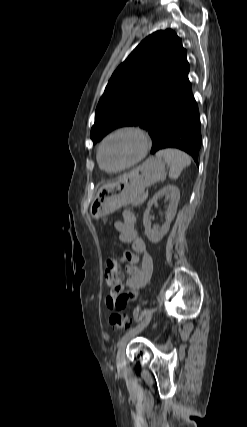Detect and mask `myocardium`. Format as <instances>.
<instances>
[{
  "mask_svg": "<svg viewBox=\"0 0 247 427\" xmlns=\"http://www.w3.org/2000/svg\"><path fill=\"white\" fill-rule=\"evenodd\" d=\"M122 133H133V134L137 135L141 141V150H140L138 156L133 161H131L130 163H128V164H126V165H124L118 169L109 170V169L105 168V166L103 165L102 158H101L102 149H103L104 145L110 139H112L113 137H115L119 134H122ZM150 146H151L150 137H149L148 133L143 128H141L139 126H135V125L120 126L116 129H114L113 131H111L109 134H107L103 138V140L101 141V143L98 147L97 160H98L100 167L104 171H106L108 173H118V172L124 171L126 169H129V168L135 166L136 164H138L139 162H141L146 157V155L150 149Z\"/></svg>",
  "mask_w": 247,
  "mask_h": 427,
  "instance_id": "myocardium-1",
  "label": "myocardium"
}]
</instances>
